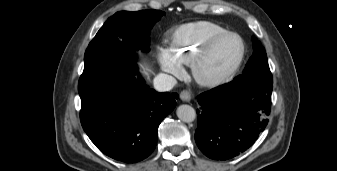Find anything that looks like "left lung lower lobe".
I'll return each mask as SVG.
<instances>
[{"label":"left lung lower lobe","instance_id":"obj_1","mask_svg":"<svg viewBox=\"0 0 337 171\" xmlns=\"http://www.w3.org/2000/svg\"><path fill=\"white\" fill-rule=\"evenodd\" d=\"M272 80L242 78L200 94L195 141L214 160L238 156L258 138L271 111Z\"/></svg>","mask_w":337,"mask_h":171}]
</instances>
